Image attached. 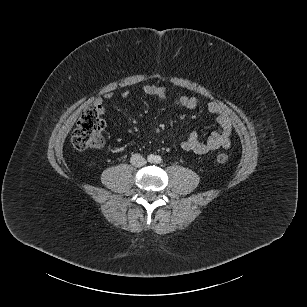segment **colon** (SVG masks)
<instances>
[{
  "label": "colon",
  "mask_w": 307,
  "mask_h": 307,
  "mask_svg": "<svg viewBox=\"0 0 307 307\" xmlns=\"http://www.w3.org/2000/svg\"><path fill=\"white\" fill-rule=\"evenodd\" d=\"M104 121L100 117L99 109L96 106H90L84 110L76 128L71 136V143L77 150H85L87 148H101L103 146L102 131ZM217 161L225 164L228 156L225 153L217 155Z\"/></svg>",
  "instance_id": "obj_1"
}]
</instances>
